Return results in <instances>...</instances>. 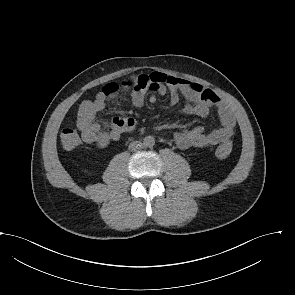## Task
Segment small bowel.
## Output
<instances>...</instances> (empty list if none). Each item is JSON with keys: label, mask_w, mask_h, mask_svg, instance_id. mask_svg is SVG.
Instances as JSON below:
<instances>
[{"label": "small bowel", "mask_w": 295, "mask_h": 295, "mask_svg": "<svg viewBox=\"0 0 295 295\" xmlns=\"http://www.w3.org/2000/svg\"><path fill=\"white\" fill-rule=\"evenodd\" d=\"M122 89L131 90L132 104L139 108L144 104L148 91L164 95L169 94V106L179 102L180 95L186 101L183 112L198 116H207L213 108L217 110L221 126L205 132L202 126L177 131L174 142L180 149L205 148L216 146L229 140L235 128V118L228 105L211 89L185 79L153 72L132 76L121 84ZM117 97V91L106 94L100 91L93 100H85L80 104L77 115V128L81 132L83 142L104 147L111 141H117L122 134L135 129L136 122L130 117H115L105 123L106 129L96 120V114L105 108L106 102ZM156 96H150L151 103Z\"/></svg>", "instance_id": "small-bowel-1"}]
</instances>
